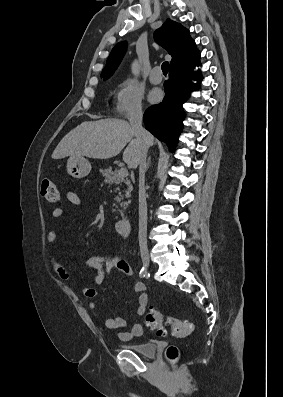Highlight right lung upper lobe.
Here are the masks:
<instances>
[{
	"label": "right lung upper lobe",
	"mask_w": 283,
	"mask_h": 397,
	"mask_svg": "<svg viewBox=\"0 0 283 397\" xmlns=\"http://www.w3.org/2000/svg\"><path fill=\"white\" fill-rule=\"evenodd\" d=\"M154 37L172 56L170 68L185 64L200 56L194 40L189 35V30L171 19H167L155 31ZM126 48V42H120L114 46L101 73L104 80L114 73L125 54Z\"/></svg>",
	"instance_id": "1"
}]
</instances>
